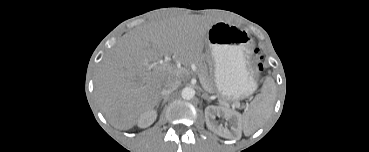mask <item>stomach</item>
Instances as JSON below:
<instances>
[{"instance_id":"1","label":"stomach","mask_w":369,"mask_h":152,"mask_svg":"<svg viewBox=\"0 0 369 152\" xmlns=\"http://www.w3.org/2000/svg\"><path fill=\"white\" fill-rule=\"evenodd\" d=\"M206 42L215 62V85L226 99H239L256 88L254 72L248 68L250 37L243 29L216 22L206 33Z\"/></svg>"}]
</instances>
